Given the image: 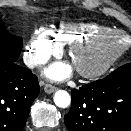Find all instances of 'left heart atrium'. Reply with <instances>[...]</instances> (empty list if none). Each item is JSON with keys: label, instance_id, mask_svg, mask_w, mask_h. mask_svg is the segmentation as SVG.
I'll use <instances>...</instances> for the list:
<instances>
[{"label": "left heart atrium", "instance_id": "obj_1", "mask_svg": "<svg viewBox=\"0 0 131 131\" xmlns=\"http://www.w3.org/2000/svg\"><path fill=\"white\" fill-rule=\"evenodd\" d=\"M72 71L71 66L66 65V64H60L56 63L51 65L47 70H46V75L54 80H61L68 75H70Z\"/></svg>", "mask_w": 131, "mask_h": 131}]
</instances>
